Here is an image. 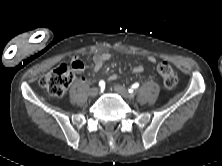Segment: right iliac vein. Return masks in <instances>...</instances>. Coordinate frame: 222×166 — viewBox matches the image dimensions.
I'll return each instance as SVG.
<instances>
[{"label":"right iliac vein","instance_id":"1","mask_svg":"<svg viewBox=\"0 0 222 166\" xmlns=\"http://www.w3.org/2000/svg\"><path fill=\"white\" fill-rule=\"evenodd\" d=\"M99 93V89L97 87H93L90 89L89 94L92 97H95Z\"/></svg>","mask_w":222,"mask_h":166}]
</instances>
